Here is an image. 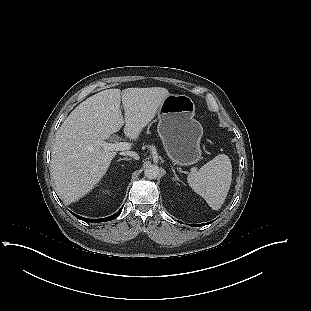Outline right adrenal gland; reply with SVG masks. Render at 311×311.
<instances>
[{
    "mask_svg": "<svg viewBox=\"0 0 311 311\" xmlns=\"http://www.w3.org/2000/svg\"><path fill=\"white\" fill-rule=\"evenodd\" d=\"M122 160L129 161L130 159H128V158H126V157H125V158H120V159L118 160V162H119V161H122Z\"/></svg>",
    "mask_w": 311,
    "mask_h": 311,
    "instance_id": "1",
    "label": "right adrenal gland"
}]
</instances>
